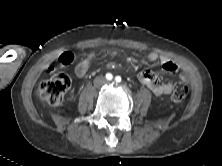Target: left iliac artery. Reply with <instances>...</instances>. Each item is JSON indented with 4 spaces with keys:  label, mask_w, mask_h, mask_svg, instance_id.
<instances>
[{
    "label": "left iliac artery",
    "mask_w": 222,
    "mask_h": 166,
    "mask_svg": "<svg viewBox=\"0 0 222 166\" xmlns=\"http://www.w3.org/2000/svg\"><path fill=\"white\" fill-rule=\"evenodd\" d=\"M115 81L116 82H121V77L120 76H116Z\"/></svg>",
    "instance_id": "obj_1"
}]
</instances>
